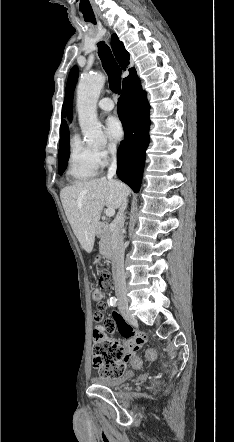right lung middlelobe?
Listing matches in <instances>:
<instances>
[{"mask_svg": "<svg viewBox=\"0 0 234 442\" xmlns=\"http://www.w3.org/2000/svg\"><path fill=\"white\" fill-rule=\"evenodd\" d=\"M70 156V150H69V141L65 143L63 146H60L59 148V159H58V172L59 174H62L66 167H67V161Z\"/></svg>", "mask_w": 234, "mask_h": 442, "instance_id": "obj_1", "label": "right lung middle lobe"}]
</instances>
